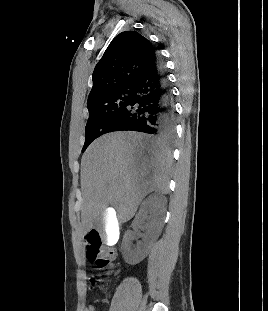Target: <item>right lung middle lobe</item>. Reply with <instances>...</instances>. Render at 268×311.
<instances>
[{
	"label": "right lung middle lobe",
	"mask_w": 268,
	"mask_h": 311,
	"mask_svg": "<svg viewBox=\"0 0 268 311\" xmlns=\"http://www.w3.org/2000/svg\"><path fill=\"white\" fill-rule=\"evenodd\" d=\"M133 94V87L116 90L87 106L89 119L85 128L82 152L98 137L108 133L110 127L126 108Z\"/></svg>",
	"instance_id": "1"
}]
</instances>
